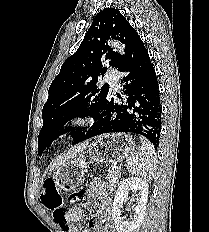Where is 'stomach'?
<instances>
[{
	"label": "stomach",
	"instance_id": "1",
	"mask_svg": "<svg viewBox=\"0 0 209 232\" xmlns=\"http://www.w3.org/2000/svg\"><path fill=\"white\" fill-rule=\"evenodd\" d=\"M134 148V140L128 134L101 135L88 146L86 152L57 169L53 177L55 184L64 191L73 190L83 181L89 163H115L131 155Z\"/></svg>",
	"mask_w": 209,
	"mask_h": 232
}]
</instances>
